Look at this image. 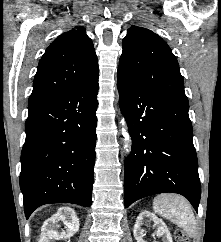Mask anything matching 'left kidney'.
<instances>
[{"label":"left kidney","mask_w":221,"mask_h":242,"mask_svg":"<svg viewBox=\"0 0 221 242\" xmlns=\"http://www.w3.org/2000/svg\"><path fill=\"white\" fill-rule=\"evenodd\" d=\"M144 219L147 221H153L154 226L157 227L156 235L157 237H162L163 242H173L169 229L162 219L158 218L154 213L150 211L141 212L135 222L133 235L137 242H146L144 238V230L142 226L144 224Z\"/></svg>","instance_id":"1"}]
</instances>
